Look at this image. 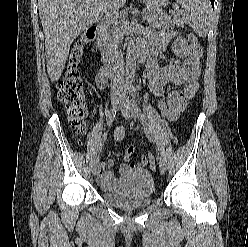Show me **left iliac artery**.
I'll list each match as a JSON object with an SVG mask.
<instances>
[{
    "mask_svg": "<svg viewBox=\"0 0 248 247\" xmlns=\"http://www.w3.org/2000/svg\"><path fill=\"white\" fill-rule=\"evenodd\" d=\"M133 107H134V110L136 112V115L137 117L140 119L142 125L144 126V130H145V133L152 139L153 141V137H152V134H151V130L148 126V122H147V119L146 117L144 116V114L142 113V111L140 110V108L138 107L137 103L135 100H133Z\"/></svg>",
    "mask_w": 248,
    "mask_h": 247,
    "instance_id": "1",
    "label": "left iliac artery"
}]
</instances>
